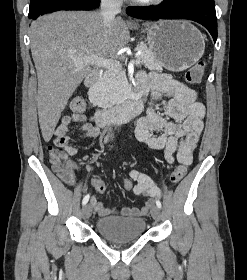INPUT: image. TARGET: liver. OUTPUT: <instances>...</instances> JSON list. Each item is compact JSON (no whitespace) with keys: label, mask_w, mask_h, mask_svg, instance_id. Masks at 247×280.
I'll use <instances>...</instances> for the list:
<instances>
[{"label":"liver","mask_w":247,"mask_h":280,"mask_svg":"<svg viewBox=\"0 0 247 280\" xmlns=\"http://www.w3.org/2000/svg\"><path fill=\"white\" fill-rule=\"evenodd\" d=\"M129 39L128 27L121 18L106 27L100 12L60 11L32 22L30 40L38 79V117L46 142L52 138L69 99L92 72V65H78L76 61L90 56L110 57Z\"/></svg>","instance_id":"liver-1"}]
</instances>
